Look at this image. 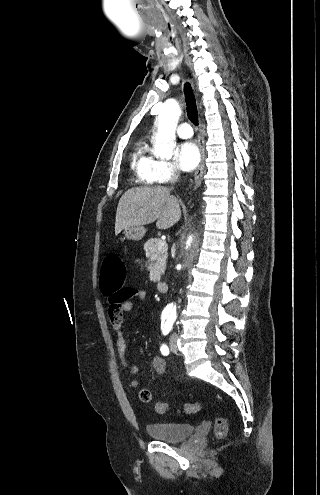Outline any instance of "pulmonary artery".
<instances>
[{
    "mask_svg": "<svg viewBox=\"0 0 320 495\" xmlns=\"http://www.w3.org/2000/svg\"><path fill=\"white\" fill-rule=\"evenodd\" d=\"M177 134L181 138H190L193 135L190 124L186 122L181 123L177 128Z\"/></svg>",
    "mask_w": 320,
    "mask_h": 495,
    "instance_id": "obj_1",
    "label": "pulmonary artery"
}]
</instances>
